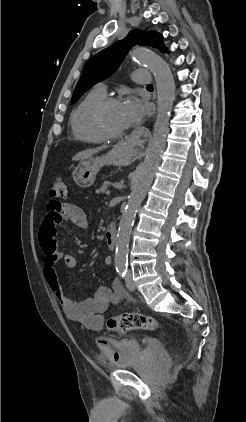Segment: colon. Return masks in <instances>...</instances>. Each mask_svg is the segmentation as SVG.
<instances>
[{
    "label": "colon",
    "mask_w": 246,
    "mask_h": 422,
    "mask_svg": "<svg viewBox=\"0 0 246 422\" xmlns=\"http://www.w3.org/2000/svg\"><path fill=\"white\" fill-rule=\"evenodd\" d=\"M68 188L66 181L58 177L49 189L51 204L57 206L60 203L57 199H63L67 196ZM109 329L114 331L126 332L132 330H155L159 328V323L153 317L140 313H124L110 318L107 322ZM105 341H102V343Z\"/></svg>",
    "instance_id": "1"
}]
</instances>
